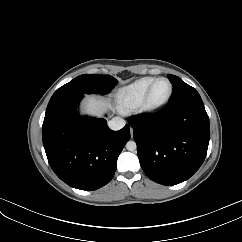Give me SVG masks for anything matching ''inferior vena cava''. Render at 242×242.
<instances>
[{
    "label": "inferior vena cava",
    "mask_w": 242,
    "mask_h": 242,
    "mask_svg": "<svg viewBox=\"0 0 242 242\" xmlns=\"http://www.w3.org/2000/svg\"><path fill=\"white\" fill-rule=\"evenodd\" d=\"M125 120L120 117H114L108 122V126L112 130H120L125 126Z\"/></svg>",
    "instance_id": "1"
}]
</instances>
